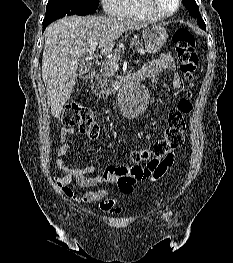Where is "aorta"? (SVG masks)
Returning a JSON list of instances; mask_svg holds the SVG:
<instances>
[{"label":"aorta","mask_w":233,"mask_h":263,"mask_svg":"<svg viewBox=\"0 0 233 263\" xmlns=\"http://www.w3.org/2000/svg\"><path fill=\"white\" fill-rule=\"evenodd\" d=\"M121 106L130 117L139 116L146 106V91L139 83L127 84L121 95Z\"/></svg>","instance_id":"762f6f07"}]
</instances>
